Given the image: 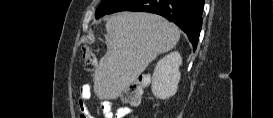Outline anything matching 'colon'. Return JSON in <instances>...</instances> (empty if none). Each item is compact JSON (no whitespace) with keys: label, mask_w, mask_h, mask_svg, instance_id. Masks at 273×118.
<instances>
[{"label":"colon","mask_w":273,"mask_h":118,"mask_svg":"<svg viewBox=\"0 0 273 118\" xmlns=\"http://www.w3.org/2000/svg\"><path fill=\"white\" fill-rule=\"evenodd\" d=\"M82 57L84 59V66L88 72H91L96 67V57L90 47H82ZM145 83L141 80L135 81L128 89L122 94V101L128 105L138 104L142 97V91Z\"/></svg>","instance_id":"obj_1"}]
</instances>
